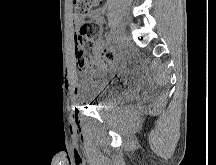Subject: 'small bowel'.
I'll return each instance as SVG.
<instances>
[{
	"label": "small bowel",
	"instance_id": "1",
	"mask_svg": "<svg viewBox=\"0 0 216 165\" xmlns=\"http://www.w3.org/2000/svg\"><path fill=\"white\" fill-rule=\"evenodd\" d=\"M103 14H104V9H98L92 12V16L95 19V21L101 25L103 23ZM95 49L97 52L99 53H104L107 52L110 54L111 59L110 61L113 59V53L110 50H105L104 45L102 42H98L95 45ZM91 82H89L88 80L84 81L82 86H81V92L86 93L87 95H89L90 92V86H91ZM76 93H77V89H76Z\"/></svg>",
	"mask_w": 216,
	"mask_h": 165
}]
</instances>
